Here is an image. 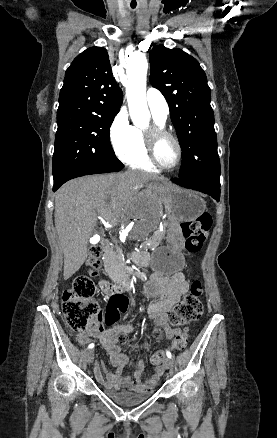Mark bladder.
I'll return each instance as SVG.
<instances>
[{
  "label": "bladder",
  "mask_w": 277,
  "mask_h": 438,
  "mask_svg": "<svg viewBox=\"0 0 277 438\" xmlns=\"http://www.w3.org/2000/svg\"><path fill=\"white\" fill-rule=\"evenodd\" d=\"M105 397L111 400L114 404L123 407H135L145 403L152 395L153 390L133 391L119 388L103 389Z\"/></svg>",
  "instance_id": "obj_1"
}]
</instances>
